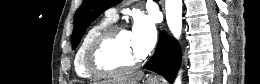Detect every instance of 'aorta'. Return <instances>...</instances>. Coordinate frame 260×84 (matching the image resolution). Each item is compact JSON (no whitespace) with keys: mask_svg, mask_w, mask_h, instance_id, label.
I'll return each mask as SVG.
<instances>
[{"mask_svg":"<svg viewBox=\"0 0 260 84\" xmlns=\"http://www.w3.org/2000/svg\"><path fill=\"white\" fill-rule=\"evenodd\" d=\"M166 20L168 27L176 39H179L182 32V0H166ZM181 83V75L179 73L175 84Z\"/></svg>","mask_w":260,"mask_h":84,"instance_id":"obj_1","label":"aorta"}]
</instances>
